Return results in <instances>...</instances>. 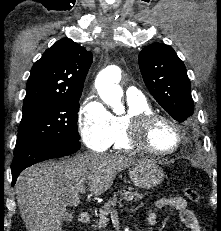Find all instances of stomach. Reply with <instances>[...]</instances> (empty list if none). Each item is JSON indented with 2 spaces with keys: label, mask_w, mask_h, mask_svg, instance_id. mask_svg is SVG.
<instances>
[{
  "label": "stomach",
  "mask_w": 221,
  "mask_h": 231,
  "mask_svg": "<svg viewBox=\"0 0 221 231\" xmlns=\"http://www.w3.org/2000/svg\"><path fill=\"white\" fill-rule=\"evenodd\" d=\"M129 176L136 187L150 189L163 181L164 172L155 162L140 160L129 170Z\"/></svg>",
  "instance_id": "stomach-1"
}]
</instances>
